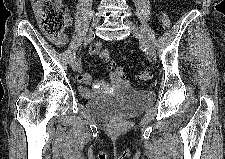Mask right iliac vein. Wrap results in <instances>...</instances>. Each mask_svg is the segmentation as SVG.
<instances>
[{"instance_id":"right-iliac-vein-1","label":"right iliac vein","mask_w":225,"mask_h":159,"mask_svg":"<svg viewBox=\"0 0 225 159\" xmlns=\"http://www.w3.org/2000/svg\"><path fill=\"white\" fill-rule=\"evenodd\" d=\"M101 15L99 13H96L92 17L91 21V27L94 28L100 23ZM73 71L77 72L80 69V63L79 60H75L72 64Z\"/></svg>"}]
</instances>
